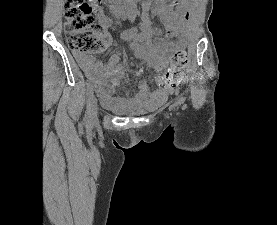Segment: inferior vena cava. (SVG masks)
<instances>
[{
    "label": "inferior vena cava",
    "mask_w": 277,
    "mask_h": 225,
    "mask_svg": "<svg viewBox=\"0 0 277 225\" xmlns=\"http://www.w3.org/2000/svg\"><path fill=\"white\" fill-rule=\"evenodd\" d=\"M109 3L112 5H118L121 3V0H109Z\"/></svg>",
    "instance_id": "obj_1"
}]
</instances>
